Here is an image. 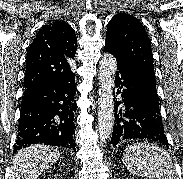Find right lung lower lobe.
<instances>
[{
    "label": "right lung lower lobe",
    "instance_id": "right-lung-lower-lobe-1",
    "mask_svg": "<svg viewBox=\"0 0 183 179\" xmlns=\"http://www.w3.org/2000/svg\"><path fill=\"white\" fill-rule=\"evenodd\" d=\"M76 82L39 80L25 87L14 152L44 143L75 150Z\"/></svg>",
    "mask_w": 183,
    "mask_h": 179
}]
</instances>
